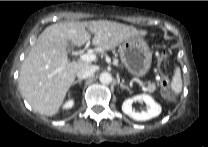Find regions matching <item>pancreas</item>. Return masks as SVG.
Returning a JSON list of instances; mask_svg holds the SVG:
<instances>
[{
    "label": "pancreas",
    "mask_w": 208,
    "mask_h": 147,
    "mask_svg": "<svg viewBox=\"0 0 208 147\" xmlns=\"http://www.w3.org/2000/svg\"><path fill=\"white\" fill-rule=\"evenodd\" d=\"M148 89H149L150 91H153V90L155 89V85L150 84L149 87H148Z\"/></svg>",
    "instance_id": "obj_1"
}]
</instances>
